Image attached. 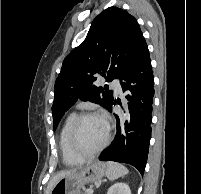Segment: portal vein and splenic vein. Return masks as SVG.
<instances>
[{
  "mask_svg": "<svg viewBox=\"0 0 201 194\" xmlns=\"http://www.w3.org/2000/svg\"><path fill=\"white\" fill-rule=\"evenodd\" d=\"M87 192H88V194H93V190L92 189H88Z\"/></svg>",
  "mask_w": 201,
  "mask_h": 194,
  "instance_id": "obj_1",
  "label": "portal vein and splenic vein"
}]
</instances>
